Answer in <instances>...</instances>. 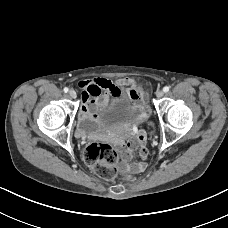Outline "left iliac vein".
Here are the masks:
<instances>
[{
	"mask_svg": "<svg viewBox=\"0 0 228 228\" xmlns=\"http://www.w3.org/2000/svg\"><path fill=\"white\" fill-rule=\"evenodd\" d=\"M156 96H157V98H162L164 96V92L163 91H158L156 93Z\"/></svg>",
	"mask_w": 228,
	"mask_h": 228,
	"instance_id": "obj_1",
	"label": "left iliac vein"
}]
</instances>
